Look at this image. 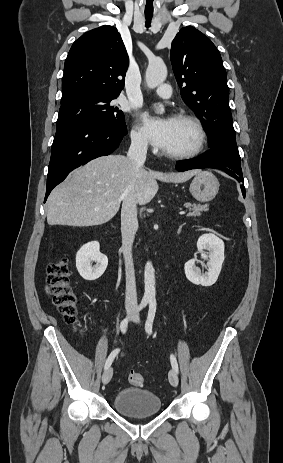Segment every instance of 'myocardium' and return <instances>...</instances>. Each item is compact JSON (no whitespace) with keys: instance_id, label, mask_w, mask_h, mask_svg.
I'll use <instances>...</instances> for the list:
<instances>
[{"instance_id":"myocardium-1","label":"myocardium","mask_w":283,"mask_h":463,"mask_svg":"<svg viewBox=\"0 0 283 463\" xmlns=\"http://www.w3.org/2000/svg\"><path fill=\"white\" fill-rule=\"evenodd\" d=\"M173 120L182 121V122H186L190 124L194 128L197 134V142L195 146L188 151L178 152V153H171V152L163 151L162 154L174 160H186V159L194 158L197 155H199L205 147L206 138H207L205 128L202 122L200 121V119L192 114L180 113V114L175 115L173 117Z\"/></svg>"}]
</instances>
